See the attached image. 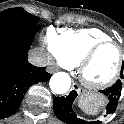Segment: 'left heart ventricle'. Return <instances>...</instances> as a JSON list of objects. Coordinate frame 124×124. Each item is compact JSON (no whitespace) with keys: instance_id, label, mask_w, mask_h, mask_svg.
<instances>
[{"instance_id":"1","label":"left heart ventricle","mask_w":124,"mask_h":124,"mask_svg":"<svg viewBox=\"0 0 124 124\" xmlns=\"http://www.w3.org/2000/svg\"><path fill=\"white\" fill-rule=\"evenodd\" d=\"M119 52L115 46L102 48L90 61L85 77L93 83H101L112 77L118 65Z\"/></svg>"}]
</instances>
